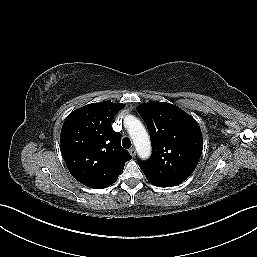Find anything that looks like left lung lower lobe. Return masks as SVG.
Wrapping results in <instances>:
<instances>
[{"instance_id": "0a47b994", "label": "left lung lower lobe", "mask_w": 257, "mask_h": 257, "mask_svg": "<svg viewBox=\"0 0 257 257\" xmlns=\"http://www.w3.org/2000/svg\"><path fill=\"white\" fill-rule=\"evenodd\" d=\"M151 184L158 186V187H170V186H175L181 183V181H176V180H161V181H149Z\"/></svg>"}]
</instances>
